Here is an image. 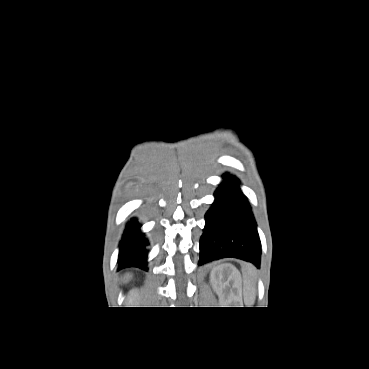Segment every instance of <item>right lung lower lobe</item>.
<instances>
[{
  "label": "right lung lower lobe",
  "instance_id": "obj_1",
  "mask_svg": "<svg viewBox=\"0 0 369 369\" xmlns=\"http://www.w3.org/2000/svg\"><path fill=\"white\" fill-rule=\"evenodd\" d=\"M140 225L136 220H132L127 225L123 234L122 245L119 253V269L126 267H138L144 270L146 268V257L144 247L148 242L139 234Z\"/></svg>",
  "mask_w": 369,
  "mask_h": 369
}]
</instances>
